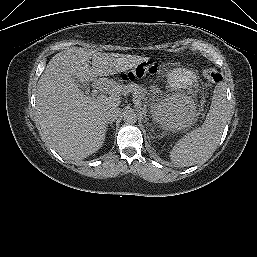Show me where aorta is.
<instances>
[{
    "label": "aorta",
    "instance_id": "obj_1",
    "mask_svg": "<svg viewBox=\"0 0 257 257\" xmlns=\"http://www.w3.org/2000/svg\"><path fill=\"white\" fill-rule=\"evenodd\" d=\"M123 120L126 124H134L137 121V115L133 109H127L123 112Z\"/></svg>",
    "mask_w": 257,
    "mask_h": 257
}]
</instances>
